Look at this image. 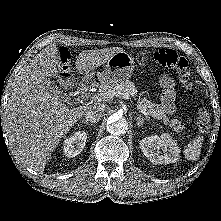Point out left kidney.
Listing matches in <instances>:
<instances>
[{
  "label": "left kidney",
  "instance_id": "left-kidney-1",
  "mask_svg": "<svg viewBox=\"0 0 221 221\" xmlns=\"http://www.w3.org/2000/svg\"><path fill=\"white\" fill-rule=\"evenodd\" d=\"M143 154L154 164L174 163L179 159L180 149L177 143L167 133L160 137L148 136L140 141Z\"/></svg>",
  "mask_w": 221,
  "mask_h": 221
}]
</instances>
